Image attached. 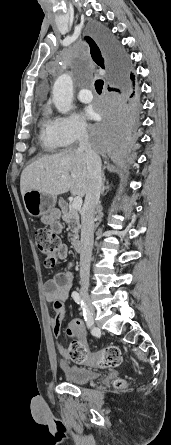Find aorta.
<instances>
[{"instance_id": "1", "label": "aorta", "mask_w": 171, "mask_h": 445, "mask_svg": "<svg viewBox=\"0 0 171 445\" xmlns=\"http://www.w3.org/2000/svg\"><path fill=\"white\" fill-rule=\"evenodd\" d=\"M53 103L57 110L66 114L71 110L73 98V81L70 75H60L53 86Z\"/></svg>"}]
</instances>
